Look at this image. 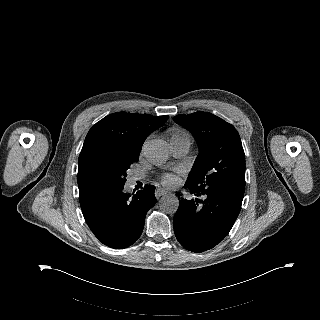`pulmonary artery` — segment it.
<instances>
[{
  "label": "pulmonary artery",
  "mask_w": 320,
  "mask_h": 320,
  "mask_svg": "<svg viewBox=\"0 0 320 320\" xmlns=\"http://www.w3.org/2000/svg\"><path fill=\"white\" fill-rule=\"evenodd\" d=\"M170 145L172 149V153L175 157H183L185 156L191 147V139L188 137H171L170 138ZM143 175L136 174L131 177L130 183L133 184L138 180H141Z\"/></svg>",
  "instance_id": "obj_1"
}]
</instances>
